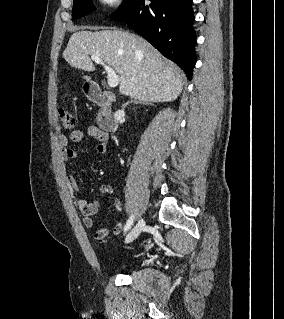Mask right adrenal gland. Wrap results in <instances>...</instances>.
Instances as JSON below:
<instances>
[{"mask_svg": "<svg viewBox=\"0 0 284 319\" xmlns=\"http://www.w3.org/2000/svg\"><path fill=\"white\" fill-rule=\"evenodd\" d=\"M130 103L138 104V103H147V102H144V101H142L141 99H134V100H131V101L125 103L124 107H126V106H127L128 104H130Z\"/></svg>", "mask_w": 284, "mask_h": 319, "instance_id": "obj_1", "label": "right adrenal gland"}]
</instances>
